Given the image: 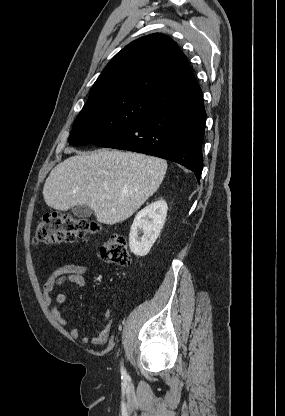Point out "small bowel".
Masks as SVG:
<instances>
[{
  "label": "small bowel",
  "mask_w": 285,
  "mask_h": 416,
  "mask_svg": "<svg viewBox=\"0 0 285 416\" xmlns=\"http://www.w3.org/2000/svg\"><path fill=\"white\" fill-rule=\"evenodd\" d=\"M87 267L79 264H65L55 269L46 279L43 284V300L50 308L53 318L62 326L69 327L68 333L73 339H80L82 343L91 344L94 346L103 345L107 342L110 330L113 324V316L111 311L107 309L103 317V329L95 336L81 335L76 327H72L69 321L62 315L56 305H52V293L64 283H70L76 288H82L86 284L85 276L87 274ZM69 299L68 293H59L55 297L57 305L65 304Z\"/></svg>",
  "instance_id": "c3829d8e"
}]
</instances>
